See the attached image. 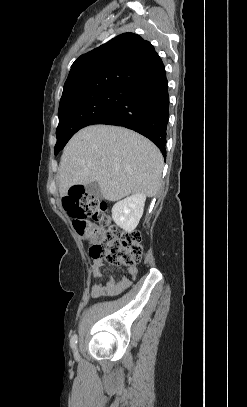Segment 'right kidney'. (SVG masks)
Masks as SVG:
<instances>
[{"mask_svg":"<svg viewBox=\"0 0 247 407\" xmlns=\"http://www.w3.org/2000/svg\"><path fill=\"white\" fill-rule=\"evenodd\" d=\"M145 201V194H133L117 202L112 208L114 222L126 232H132L143 215Z\"/></svg>","mask_w":247,"mask_h":407,"instance_id":"obj_1","label":"right kidney"}]
</instances>
